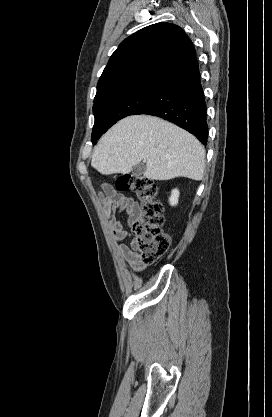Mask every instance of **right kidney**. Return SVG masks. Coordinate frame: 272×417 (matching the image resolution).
Returning <instances> with one entry per match:
<instances>
[{"label": "right kidney", "mask_w": 272, "mask_h": 417, "mask_svg": "<svg viewBox=\"0 0 272 417\" xmlns=\"http://www.w3.org/2000/svg\"><path fill=\"white\" fill-rule=\"evenodd\" d=\"M179 191L177 189L172 190L169 202L171 206H176L178 203Z\"/></svg>", "instance_id": "obj_1"}]
</instances>
